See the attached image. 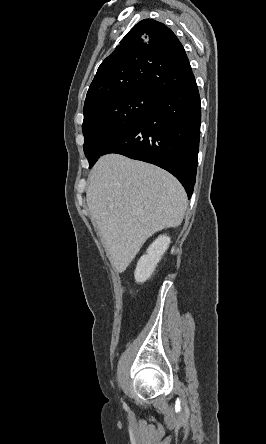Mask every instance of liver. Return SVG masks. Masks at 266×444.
Listing matches in <instances>:
<instances>
[{
  "label": "liver",
  "instance_id": "liver-1",
  "mask_svg": "<svg viewBox=\"0 0 266 444\" xmlns=\"http://www.w3.org/2000/svg\"><path fill=\"white\" fill-rule=\"evenodd\" d=\"M92 220L117 272H124L154 233L178 227L187 196L165 170L119 154L102 156L89 174L86 192Z\"/></svg>",
  "mask_w": 266,
  "mask_h": 444
}]
</instances>
